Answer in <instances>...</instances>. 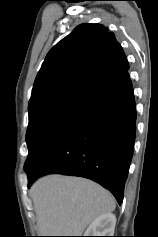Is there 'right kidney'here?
I'll list each match as a JSON object with an SVG mask.
<instances>
[{
  "label": "right kidney",
  "mask_w": 158,
  "mask_h": 237,
  "mask_svg": "<svg viewBox=\"0 0 158 237\" xmlns=\"http://www.w3.org/2000/svg\"><path fill=\"white\" fill-rule=\"evenodd\" d=\"M116 216L106 213L96 218L87 228L83 236H113Z\"/></svg>",
  "instance_id": "1"
}]
</instances>
